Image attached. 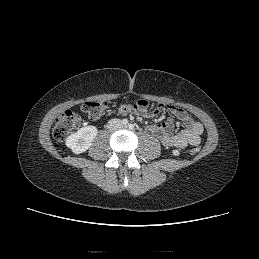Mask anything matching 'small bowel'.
Masks as SVG:
<instances>
[{
	"mask_svg": "<svg viewBox=\"0 0 259 259\" xmlns=\"http://www.w3.org/2000/svg\"><path fill=\"white\" fill-rule=\"evenodd\" d=\"M168 111L183 124L184 129L173 132L174 124L172 121H169L167 123L151 124L148 126V130L156 135L166 147L184 148L187 145L198 146L203 133L202 124L195 121L180 107L168 106Z\"/></svg>",
	"mask_w": 259,
	"mask_h": 259,
	"instance_id": "c3829d8e",
	"label": "small bowel"
}]
</instances>
